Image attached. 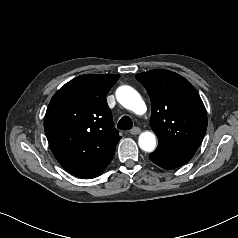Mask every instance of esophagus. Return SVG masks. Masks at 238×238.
Returning <instances> with one entry per match:
<instances>
[{
  "label": "esophagus",
  "mask_w": 238,
  "mask_h": 238,
  "mask_svg": "<svg viewBox=\"0 0 238 238\" xmlns=\"http://www.w3.org/2000/svg\"><path fill=\"white\" fill-rule=\"evenodd\" d=\"M141 132V130H140V128H138V127H134V128H132L131 130H130V134H132V135H137V134H139Z\"/></svg>",
  "instance_id": "obj_1"
}]
</instances>
